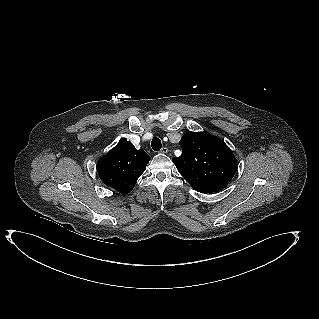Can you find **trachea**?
<instances>
[{"mask_svg": "<svg viewBox=\"0 0 319 319\" xmlns=\"http://www.w3.org/2000/svg\"><path fill=\"white\" fill-rule=\"evenodd\" d=\"M151 146L154 151H159L162 147L161 140L157 137H154L152 139Z\"/></svg>", "mask_w": 319, "mask_h": 319, "instance_id": "3493384b", "label": "trachea"}]
</instances>
